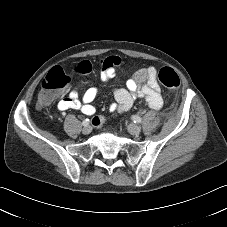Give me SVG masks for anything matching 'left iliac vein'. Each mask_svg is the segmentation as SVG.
<instances>
[{"label":"left iliac vein","mask_w":227,"mask_h":227,"mask_svg":"<svg viewBox=\"0 0 227 227\" xmlns=\"http://www.w3.org/2000/svg\"><path fill=\"white\" fill-rule=\"evenodd\" d=\"M127 130L132 135H138L141 132V128L133 123L128 124Z\"/></svg>","instance_id":"1"}]
</instances>
